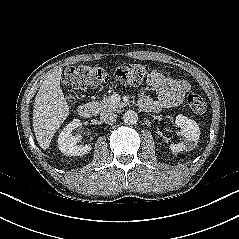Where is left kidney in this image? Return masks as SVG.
Here are the masks:
<instances>
[{"label": "left kidney", "mask_w": 239, "mask_h": 239, "mask_svg": "<svg viewBox=\"0 0 239 239\" xmlns=\"http://www.w3.org/2000/svg\"><path fill=\"white\" fill-rule=\"evenodd\" d=\"M175 123L180 127V134L184 137V141L178 144H170L172 152L191 151L197 145L200 137V128L198 124L183 115H177Z\"/></svg>", "instance_id": "left-kidney-1"}]
</instances>
